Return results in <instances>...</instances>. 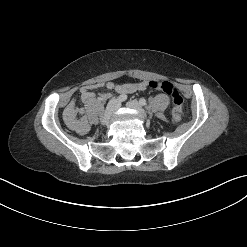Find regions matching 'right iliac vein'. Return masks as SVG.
<instances>
[{"mask_svg": "<svg viewBox=\"0 0 247 247\" xmlns=\"http://www.w3.org/2000/svg\"><path fill=\"white\" fill-rule=\"evenodd\" d=\"M119 105L120 104H119V101L117 99H112L108 103V105H107V107H106V109L104 111V114H103V116L101 118V123L103 125H108L109 124V121H110L111 117L113 116L115 111L118 109Z\"/></svg>", "mask_w": 247, "mask_h": 247, "instance_id": "right-iliac-vein-1", "label": "right iliac vein"}]
</instances>
